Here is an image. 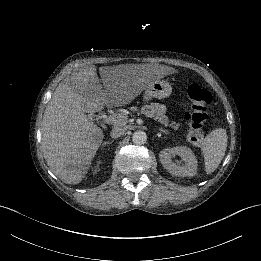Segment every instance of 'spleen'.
Segmentation results:
<instances>
[{
    "mask_svg": "<svg viewBox=\"0 0 261 261\" xmlns=\"http://www.w3.org/2000/svg\"><path fill=\"white\" fill-rule=\"evenodd\" d=\"M228 143V132L218 126L200 140V151L203 158L205 175L209 176L218 168L225 156Z\"/></svg>",
    "mask_w": 261,
    "mask_h": 261,
    "instance_id": "1",
    "label": "spleen"
}]
</instances>
